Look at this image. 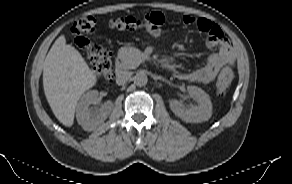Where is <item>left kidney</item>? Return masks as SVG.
Wrapping results in <instances>:
<instances>
[{
    "label": "left kidney",
    "instance_id": "1",
    "mask_svg": "<svg viewBox=\"0 0 292 184\" xmlns=\"http://www.w3.org/2000/svg\"><path fill=\"white\" fill-rule=\"evenodd\" d=\"M187 91L190 97L197 102V105L186 108L178 100H171L169 105L172 112L189 123L209 120L212 115V103L209 95L196 86H188Z\"/></svg>",
    "mask_w": 292,
    "mask_h": 184
}]
</instances>
